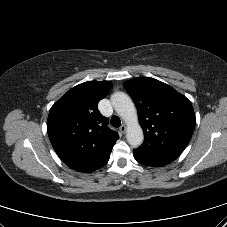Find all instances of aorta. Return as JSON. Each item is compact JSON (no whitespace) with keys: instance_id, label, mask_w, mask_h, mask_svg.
I'll list each match as a JSON object with an SVG mask.
<instances>
[{"instance_id":"obj_1","label":"aorta","mask_w":227,"mask_h":227,"mask_svg":"<svg viewBox=\"0 0 227 227\" xmlns=\"http://www.w3.org/2000/svg\"><path fill=\"white\" fill-rule=\"evenodd\" d=\"M111 103L115 111L127 124L126 139L133 147L142 144L144 135L138 122L136 108L130 97L123 92H115L111 95Z\"/></svg>"}]
</instances>
